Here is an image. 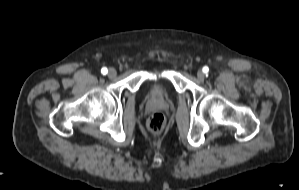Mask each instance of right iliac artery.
Segmentation results:
<instances>
[{"mask_svg":"<svg viewBox=\"0 0 299 190\" xmlns=\"http://www.w3.org/2000/svg\"><path fill=\"white\" fill-rule=\"evenodd\" d=\"M101 73H102L103 75H106V74L108 73L107 68H106V67H103V68L101 69Z\"/></svg>","mask_w":299,"mask_h":190,"instance_id":"1","label":"right iliac artery"}]
</instances>
